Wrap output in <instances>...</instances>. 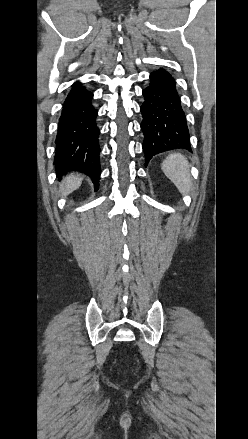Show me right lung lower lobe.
<instances>
[{
    "mask_svg": "<svg viewBox=\"0 0 248 439\" xmlns=\"http://www.w3.org/2000/svg\"><path fill=\"white\" fill-rule=\"evenodd\" d=\"M93 94L74 83L62 108L56 137V170L59 175L78 170L90 176L98 189L100 178L99 129Z\"/></svg>",
    "mask_w": 248,
    "mask_h": 439,
    "instance_id": "obj_1",
    "label": "right lung lower lobe"
}]
</instances>
